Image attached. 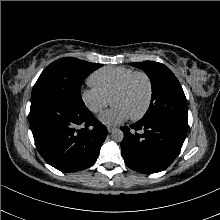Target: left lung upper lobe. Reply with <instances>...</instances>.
<instances>
[{
    "instance_id": "obj_1",
    "label": "left lung upper lobe",
    "mask_w": 220,
    "mask_h": 220,
    "mask_svg": "<svg viewBox=\"0 0 220 220\" xmlns=\"http://www.w3.org/2000/svg\"><path fill=\"white\" fill-rule=\"evenodd\" d=\"M131 65L144 70L152 85L150 106L139 121L168 119L188 128L187 100L173 72L164 64L153 61Z\"/></svg>"
}]
</instances>
